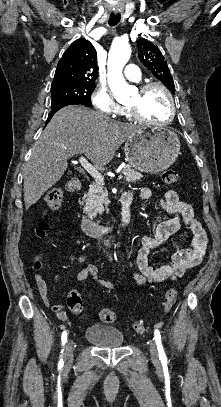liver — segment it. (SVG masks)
Segmentation results:
<instances>
[{"mask_svg":"<svg viewBox=\"0 0 221 407\" xmlns=\"http://www.w3.org/2000/svg\"><path fill=\"white\" fill-rule=\"evenodd\" d=\"M139 128L83 106L60 109L34 144L25 165V208L35 204L61 179L70 156L84 154L97 166H105Z\"/></svg>","mask_w":221,"mask_h":407,"instance_id":"obj_1","label":"liver"}]
</instances>
